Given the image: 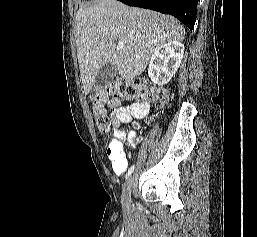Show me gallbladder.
<instances>
[{
    "label": "gallbladder",
    "instance_id": "1",
    "mask_svg": "<svg viewBox=\"0 0 257 237\" xmlns=\"http://www.w3.org/2000/svg\"><path fill=\"white\" fill-rule=\"evenodd\" d=\"M117 74V69L113 64L104 65L98 72L95 83L92 91V97L96 95V92L100 89L106 87L109 83H111L114 77Z\"/></svg>",
    "mask_w": 257,
    "mask_h": 237
}]
</instances>
